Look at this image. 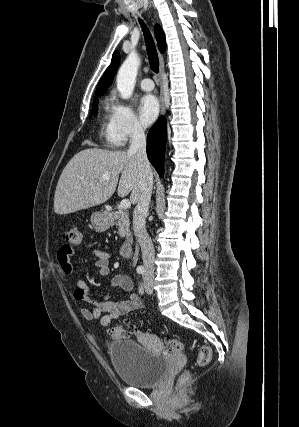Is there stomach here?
<instances>
[{"mask_svg": "<svg viewBox=\"0 0 299 427\" xmlns=\"http://www.w3.org/2000/svg\"><path fill=\"white\" fill-rule=\"evenodd\" d=\"M91 222L95 229L105 230L110 226V219L104 212H95L91 216Z\"/></svg>", "mask_w": 299, "mask_h": 427, "instance_id": "obj_1", "label": "stomach"}]
</instances>
